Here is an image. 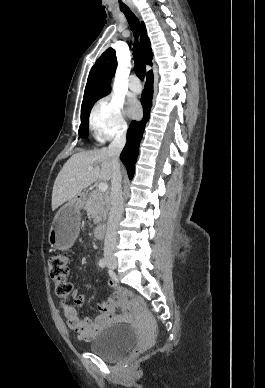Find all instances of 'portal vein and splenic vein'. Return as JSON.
<instances>
[{"instance_id": "18ae733b", "label": "portal vein and splenic vein", "mask_w": 265, "mask_h": 388, "mask_svg": "<svg viewBox=\"0 0 265 388\" xmlns=\"http://www.w3.org/2000/svg\"><path fill=\"white\" fill-rule=\"evenodd\" d=\"M88 170H93V166H89ZM72 180H75V178H72ZM99 190L100 192H106V190H108V184H106V182H101V184H99Z\"/></svg>"}]
</instances>
